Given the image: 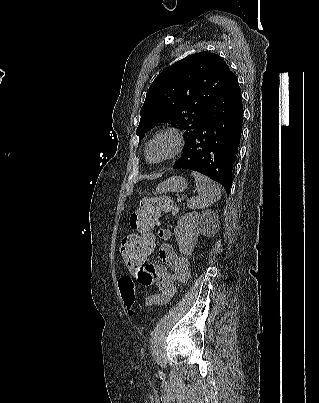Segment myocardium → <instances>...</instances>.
<instances>
[{
	"label": "myocardium",
	"instance_id": "obj_1",
	"mask_svg": "<svg viewBox=\"0 0 319 403\" xmlns=\"http://www.w3.org/2000/svg\"><path fill=\"white\" fill-rule=\"evenodd\" d=\"M164 138H167L171 141V148H170L169 152L160 159H157V160L149 159L150 147L158 140L164 139ZM184 146H185V139H184L183 133L175 127H166V128L159 130L148 141V143L146 144V148H145V157L149 162H153V163L166 162V161H169V160L177 157L178 155H180L184 149Z\"/></svg>",
	"mask_w": 319,
	"mask_h": 403
}]
</instances>
